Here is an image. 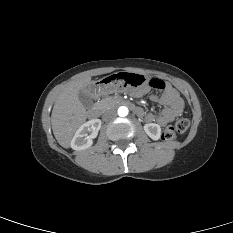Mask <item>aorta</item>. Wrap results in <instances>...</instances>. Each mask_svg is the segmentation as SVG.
Returning a JSON list of instances; mask_svg holds the SVG:
<instances>
[{
    "instance_id": "aorta-1",
    "label": "aorta",
    "mask_w": 233,
    "mask_h": 233,
    "mask_svg": "<svg viewBox=\"0 0 233 233\" xmlns=\"http://www.w3.org/2000/svg\"><path fill=\"white\" fill-rule=\"evenodd\" d=\"M128 112H129V110H128V108L126 106H121V107L118 108V115L120 117L127 116Z\"/></svg>"
}]
</instances>
